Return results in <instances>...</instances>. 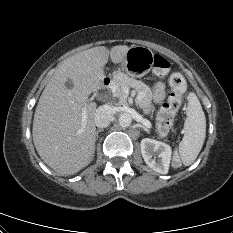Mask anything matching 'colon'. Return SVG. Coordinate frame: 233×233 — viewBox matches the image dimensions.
Listing matches in <instances>:
<instances>
[{"instance_id": "obj_1", "label": "colon", "mask_w": 233, "mask_h": 233, "mask_svg": "<svg viewBox=\"0 0 233 233\" xmlns=\"http://www.w3.org/2000/svg\"><path fill=\"white\" fill-rule=\"evenodd\" d=\"M170 63L161 55L153 57V72L156 76L162 77L169 73ZM169 85L171 93L167 102L162 106L157 117V130L160 136H165L174 121L175 115L182 103V95L186 88V83L183 76L179 73H172L169 77ZM182 165L181 158L178 154L172 157V166L179 168Z\"/></svg>"}]
</instances>
